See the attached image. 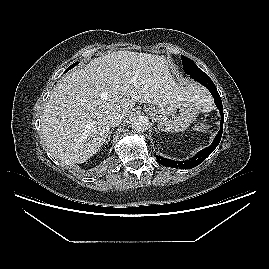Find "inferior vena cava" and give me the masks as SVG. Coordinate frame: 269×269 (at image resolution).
<instances>
[{
    "mask_svg": "<svg viewBox=\"0 0 269 269\" xmlns=\"http://www.w3.org/2000/svg\"><path fill=\"white\" fill-rule=\"evenodd\" d=\"M124 119V113L121 111L112 112L107 117V122L109 126L115 127L119 125Z\"/></svg>",
    "mask_w": 269,
    "mask_h": 269,
    "instance_id": "inferior-vena-cava-1",
    "label": "inferior vena cava"
}]
</instances>
